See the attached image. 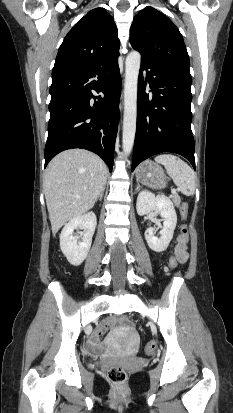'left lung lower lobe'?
I'll return each mask as SVG.
<instances>
[{"mask_svg":"<svg viewBox=\"0 0 233 413\" xmlns=\"http://www.w3.org/2000/svg\"><path fill=\"white\" fill-rule=\"evenodd\" d=\"M147 85L152 89V98L145 93ZM190 87L191 82L181 76L141 60L132 171L143 160L162 152L184 156L195 170Z\"/></svg>","mask_w":233,"mask_h":413,"instance_id":"0a47b994","label":"left lung lower lobe"}]
</instances>
